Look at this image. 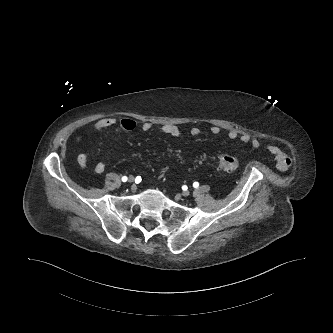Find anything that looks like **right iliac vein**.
<instances>
[{"label": "right iliac vein", "instance_id": "1", "mask_svg": "<svg viewBox=\"0 0 333 333\" xmlns=\"http://www.w3.org/2000/svg\"><path fill=\"white\" fill-rule=\"evenodd\" d=\"M128 182H129V183H133V182H134V177H133V176H129V178H128Z\"/></svg>", "mask_w": 333, "mask_h": 333}]
</instances>
